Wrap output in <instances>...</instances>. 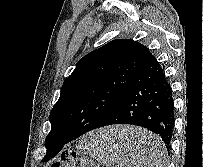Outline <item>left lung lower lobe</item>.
Returning a JSON list of instances; mask_svg holds the SVG:
<instances>
[{"instance_id": "0a47b994", "label": "left lung lower lobe", "mask_w": 203, "mask_h": 167, "mask_svg": "<svg viewBox=\"0 0 203 167\" xmlns=\"http://www.w3.org/2000/svg\"><path fill=\"white\" fill-rule=\"evenodd\" d=\"M174 121L172 89L152 55L132 79L114 111L98 128L113 124L144 127L157 134L169 149ZM65 144L66 140L54 143L47 150V159L56 156ZM111 144L116 142L111 141Z\"/></svg>"}]
</instances>
